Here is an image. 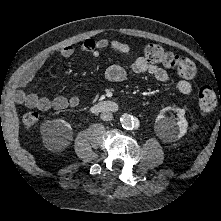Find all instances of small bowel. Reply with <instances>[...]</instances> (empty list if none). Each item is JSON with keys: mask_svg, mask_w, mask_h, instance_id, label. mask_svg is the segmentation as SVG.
<instances>
[{"mask_svg": "<svg viewBox=\"0 0 221 221\" xmlns=\"http://www.w3.org/2000/svg\"><path fill=\"white\" fill-rule=\"evenodd\" d=\"M78 49L81 52L89 54L91 57H98L102 50L110 49L114 52L129 57L131 48L128 44L108 38H87L83 40ZM76 52V47L73 45H65L56 51V55L62 58H70ZM50 55H45L37 59L18 80V89L15 94L16 101L25 104L29 108H35L41 111L64 110L67 107H77L80 104L78 96L66 97L58 95L52 99L40 96L37 93H28L24 89L32 81L37 71L46 63ZM130 70L134 74H149L159 82L169 81L168 72L161 66L150 63L146 58L139 56L131 59ZM105 77L113 83L123 82L127 77V70L121 65H111L105 71ZM177 89L183 95H190L193 87L187 80H179Z\"/></svg>", "mask_w": 221, "mask_h": 221, "instance_id": "obj_1", "label": "small bowel"}]
</instances>
